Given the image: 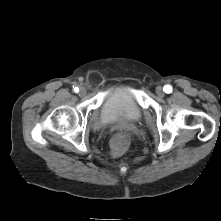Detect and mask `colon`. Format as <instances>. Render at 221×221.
Returning <instances> with one entry per match:
<instances>
[{
  "label": "colon",
  "mask_w": 221,
  "mask_h": 221,
  "mask_svg": "<svg viewBox=\"0 0 221 221\" xmlns=\"http://www.w3.org/2000/svg\"><path fill=\"white\" fill-rule=\"evenodd\" d=\"M129 144L128 137L124 133H117L111 141V152L114 156H118L125 152Z\"/></svg>",
  "instance_id": "colon-1"
}]
</instances>
